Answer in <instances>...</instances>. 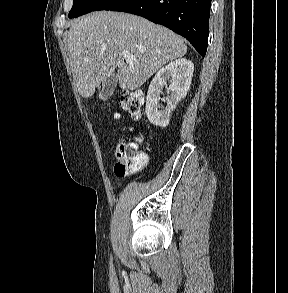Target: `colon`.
Returning <instances> with one entry per match:
<instances>
[{
	"mask_svg": "<svg viewBox=\"0 0 288 293\" xmlns=\"http://www.w3.org/2000/svg\"><path fill=\"white\" fill-rule=\"evenodd\" d=\"M120 104L130 117L138 119L144 104V95L141 91L125 92L121 96ZM115 159V173L120 177L136 173L146 164V157L143 153L137 151L136 144L126 141L117 144Z\"/></svg>",
	"mask_w": 288,
	"mask_h": 293,
	"instance_id": "colon-1",
	"label": "colon"
}]
</instances>
